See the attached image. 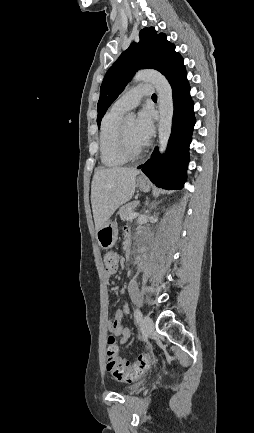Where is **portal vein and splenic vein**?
I'll return each mask as SVG.
<instances>
[{
	"instance_id": "18ae733b",
	"label": "portal vein and splenic vein",
	"mask_w": 254,
	"mask_h": 433,
	"mask_svg": "<svg viewBox=\"0 0 254 433\" xmlns=\"http://www.w3.org/2000/svg\"><path fill=\"white\" fill-rule=\"evenodd\" d=\"M138 215H139V213H132V214H130L129 219L132 220V219L136 218Z\"/></svg>"
}]
</instances>
